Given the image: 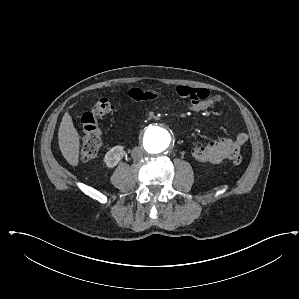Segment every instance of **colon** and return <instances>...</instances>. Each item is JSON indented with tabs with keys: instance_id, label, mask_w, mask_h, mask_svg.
<instances>
[{
	"instance_id": "1",
	"label": "colon",
	"mask_w": 299,
	"mask_h": 299,
	"mask_svg": "<svg viewBox=\"0 0 299 299\" xmlns=\"http://www.w3.org/2000/svg\"><path fill=\"white\" fill-rule=\"evenodd\" d=\"M113 105L107 98H101L94 102L90 111L81 117L83 129V143L80 151V159L89 162L97 157L103 145L102 132L98 125V119L111 113ZM243 159L238 154L232 158L235 165H240Z\"/></svg>"
}]
</instances>
